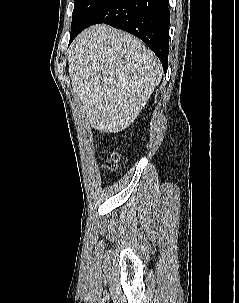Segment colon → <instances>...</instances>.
<instances>
[{
    "mask_svg": "<svg viewBox=\"0 0 239 303\" xmlns=\"http://www.w3.org/2000/svg\"><path fill=\"white\" fill-rule=\"evenodd\" d=\"M123 162V157L119 153H114L111 157L105 162L103 168L106 171H115L118 169L120 164Z\"/></svg>",
    "mask_w": 239,
    "mask_h": 303,
    "instance_id": "1",
    "label": "colon"
}]
</instances>
